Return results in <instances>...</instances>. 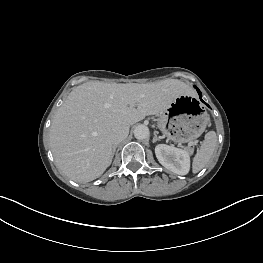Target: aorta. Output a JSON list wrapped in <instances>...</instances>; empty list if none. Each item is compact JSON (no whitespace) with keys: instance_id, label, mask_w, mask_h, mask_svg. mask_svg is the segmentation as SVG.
<instances>
[{"instance_id":"1","label":"aorta","mask_w":263,"mask_h":263,"mask_svg":"<svg viewBox=\"0 0 263 263\" xmlns=\"http://www.w3.org/2000/svg\"><path fill=\"white\" fill-rule=\"evenodd\" d=\"M134 137L138 140H145L149 137V128L146 125H138L134 129Z\"/></svg>"}]
</instances>
